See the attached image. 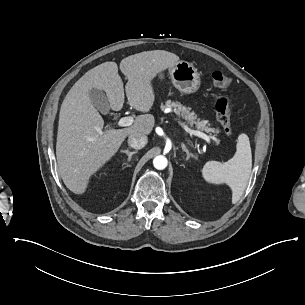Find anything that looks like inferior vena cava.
<instances>
[{
  "label": "inferior vena cava",
  "mask_w": 305,
  "mask_h": 305,
  "mask_svg": "<svg viewBox=\"0 0 305 305\" xmlns=\"http://www.w3.org/2000/svg\"><path fill=\"white\" fill-rule=\"evenodd\" d=\"M147 137H135L133 135H130L128 138V144L130 147L139 150L145 147L147 144Z\"/></svg>",
  "instance_id": "1"
}]
</instances>
